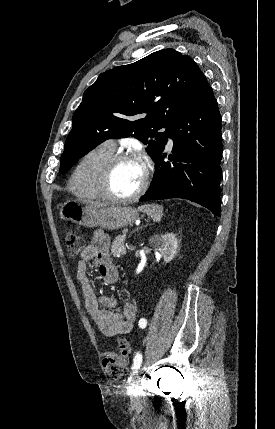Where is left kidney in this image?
<instances>
[{
  "label": "left kidney",
  "mask_w": 275,
  "mask_h": 429,
  "mask_svg": "<svg viewBox=\"0 0 275 429\" xmlns=\"http://www.w3.org/2000/svg\"><path fill=\"white\" fill-rule=\"evenodd\" d=\"M149 241L150 244L162 254L165 264L173 260L177 254L179 243L177 237L173 233L154 235Z\"/></svg>",
  "instance_id": "obj_1"
}]
</instances>
